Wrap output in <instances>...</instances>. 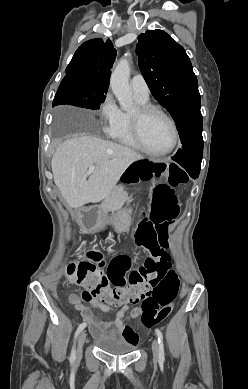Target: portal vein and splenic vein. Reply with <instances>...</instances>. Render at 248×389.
Instances as JSON below:
<instances>
[{
    "mask_svg": "<svg viewBox=\"0 0 248 389\" xmlns=\"http://www.w3.org/2000/svg\"><path fill=\"white\" fill-rule=\"evenodd\" d=\"M96 166L93 165L92 167L89 168V170L87 171V174L88 175H91L93 173V171L95 170Z\"/></svg>",
    "mask_w": 248,
    "mask_h": 389,
    "instance_id": "18ae733b",
    "label": "portal vein and splenic vein"
}]
</instances>
